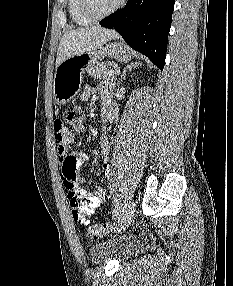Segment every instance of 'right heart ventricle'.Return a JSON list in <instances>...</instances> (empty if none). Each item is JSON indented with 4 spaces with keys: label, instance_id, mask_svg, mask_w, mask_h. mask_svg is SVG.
<instances>
[{
    "label": "right heart ventricle",
    "instance_id": "right-heart-ventricle-1",
    "mask_svg": "<svg viewBox=\"0 0 233 286\" xmlns=\"http://www.w3.org/2000/svg\"><path fill=\"white\" fill-rule=\"evenodd\" d=\"M67 9L71 20L79 26H86L92 23L81 11L80 0H67Z\"/></svg>",
    "mask_w": 233,
    "mask_h": 286
}]
</instances>
